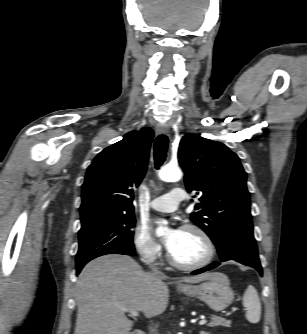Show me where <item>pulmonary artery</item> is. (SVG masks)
<instances>
[{"label":"pulmonary artery","mask_w":307,"mask_h":334,"mask_svg":"<svg viewBox=\"0 0 307 334\" xmlns=\"http://www.w3.org/2000/svg\"><path fill=\"white\" fill-rule=\"evenodd\" d=\"M186 199L184 190L173 188L168 193L158 196L150 203V207L160 212H171L177 209L178 205Z\"/></svg>","instance_id":"pulmonary-artery-1"}]
</instances>
